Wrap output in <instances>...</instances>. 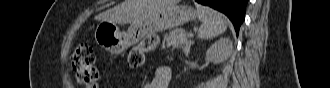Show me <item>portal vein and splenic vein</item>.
Returning a JSON list of instances; mask_svg holds the SVG:
<instances>
[{
	"label": "portal vein and splenic vein",
	"mask_w": 330,
	"mask_h": 88,
	"mask_svg": "<svg viewBox=\"0 0 330 88\" xmlns=\"http://www.w3.org/2000/svg\"><path fill=\"white\" fill-rule=\"evenodd\" d=\"M188 37H189V38H192V37H193V34H191V33L188 34Z\"/></svg>",
	"instance_id": "portal-vein-and-splenic-vein-1"
}]
</instances>
